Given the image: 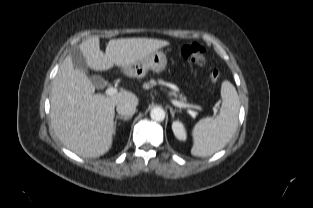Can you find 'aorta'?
<instances>
[{
    "label": "aorta",
    "instance_id": "1",
    "mask_svg": "<svg viewBox=\"0 0 313 208\" xmlns=\"http://www.w3.org/2000/svg\"><path fill=\"white\" fill-rule=\"evenodd\" d=\"M150 117L154 121H163L165 118V111L161 107H155L151 110Z\"/></svg>",
    "mask_w": 313,
    "mask_h": 208
}]
</instances>
